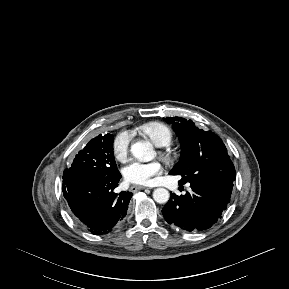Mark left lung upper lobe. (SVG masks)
I'll return each mask as SVG.
<instances>
[{"mask_svg":"<svg viewBox=\"0 0 289 289\" xmlns=\"http://www.w3.org/2000/svg\"><path fill=\"white\" fill-rule=\"evenodd\" d=\"M164 119L173 125L182 147L181 160L170 174L181 175L180 184H201L232 193L236 173L222 139L197 128L191 120Z\"/></svg>","mask_w":289,"mask_h":289,"instance_id":"1","label":"left lung upper lobe"}]
</instances>
